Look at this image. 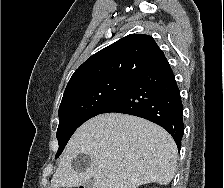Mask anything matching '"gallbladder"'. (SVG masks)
I'll return each mask as SVG.
<instances>
[{
  "label": "gallbladder",
  "instance_id": "1",
  "mask_svg": "<svg viewBox=\"0 0 224 188\" xmlns=\"http://www.w3.org/2000/svg\"><path fill=\"white\" fill-rule=\"evenodd\" d=\"M83 186H84V188H94L93 181L85 182V184Z\"/></svg>",
  "mask_w": 224,
  "mask_h": 188
}]
</instances>
